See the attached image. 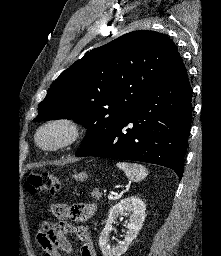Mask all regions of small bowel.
Masks as SVG:
<instances>
[{
	"label": "small bowel",
	"mask_w": 221,
	"mask_h": 256,
	"mask_svg": "<svg viewBox=\"0 0 221 256\" xmlns=\"http://www.w3.org/2000/svg\"><path fill=\"white\" fill-rule=\"evenodd\" d=\"M93 204L52 205V213L64 220L59 223H48L37 235V241L44 256H61L60 252L71 253L72 245L67 235L73 233L81 241V256H96V251L88 229L82 223L95 213Z\"/></svg>",
	"instance_id": "obj_1"
}]
</instances>
